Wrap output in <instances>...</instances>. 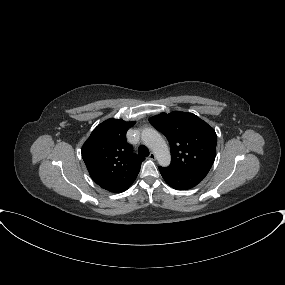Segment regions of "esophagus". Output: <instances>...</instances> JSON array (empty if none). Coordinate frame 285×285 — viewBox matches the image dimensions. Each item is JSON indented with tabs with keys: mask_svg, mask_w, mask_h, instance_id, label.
<instances>
[{
	"mask_svg": "<svg viewBox=\"0 0 285 285\" xmlns=\"http://www.w3.org/2000/svg\"><path fill=\"white\" fill-rule=\"evenodd\" d=\"M149 158L151 160H155L156 159V155L152 152V153H150Z\"/></svg>",
	"mask_w": 285,
	"mask_h": 285,
	"instance_id": "1",
	"label": "esophagus"
}]
</instances>
